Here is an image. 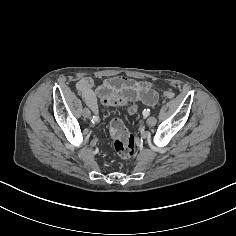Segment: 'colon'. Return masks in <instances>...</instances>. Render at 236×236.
Returning <instances> with one entry per match:
<instances>
[{
    "label": "colon",
    "mask_w": 236,
    "mask_h": 236,
    "mask_svg": "<svg viewBox=\"0 0 236 236\" xmlns=\"http://www.w3.org/2000/svg\"><path fill=\"white\" fill-rule=\"evenodd\" d=\"M163 96L167 100L176 98V94L170 89L163 90ZM128 100L129 98L124 93H109L101 96V103L104 105L127 106ZM109 132L116 153L125 160H131L135 153V138L124 122L119 118L112 119L109 124Z\"/></svg>",
    "instance_id": "colon-1"
}]
</instances>
